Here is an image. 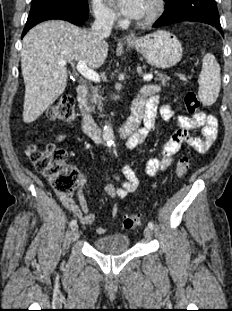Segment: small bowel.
Segmentation results:
<instances>
[{"instance_id": "1", "label": "small bowel", "mask_w": 232, "mask_h": 311, "mask_svg": "<svg viewBox=\"0 0 232 311\" xmlns=\"http://www.w3.org/2000/svg\"><path fill=\"white\" fill-rule=\"evenodd\" d=\"M139 98L144 103V126L129 137L126 143L128 149H134L145 143L150 133L155 129L157 113H159L163 121L173 124L175 127L169 140L163 146L161 156L151 158L147 162L145 171L148 176H154L164 172L170 167L174 162V155L179 151L183 143L190 144L198 153L204 154L215 142L218 122L213 115L204 112L196 113L193 116L177 115L169 104H162L160 102V88L157 85H149L142 88ZM196 129H201L202 137L193 135V131ZM65 139L66 136L61 135L56 137L54 142L61 143ZM35 150L36 147L32 146L26 150V153L31 155ZM121 170V185L117 186L113 183L105 185L106 193L112 198L126 197L139 184L134 171L128 165H123ZM85 183V176L80 175L77 191L78 204L71 197L64 195H60L59 200L83 225H92L96 217L94 214L88 212L87 200L83 190ZM116 215L117 208H114L112 216L115 217ZM106 231V227H98L96 229L99 235L106 233Z\"/></svg>"}]
</instances>
